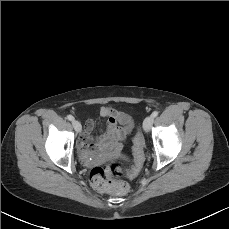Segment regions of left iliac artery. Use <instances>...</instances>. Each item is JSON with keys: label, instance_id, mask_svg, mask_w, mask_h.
<instances>
[{"label": "left iliac artery", "instance_id": "1", "mask_svg": "<svg viewBox=\"0 0 229 229\" xmlns=\"http://www.w3.org/2000/svg\"><path fill=\"white\" fill-rule=\"evenodd\" d=\"M152 116H153V117L158 116V111H154V112L152 113Z\"/></svg>", "mask_w": 229, "mask_h": 229}]
</instances>
